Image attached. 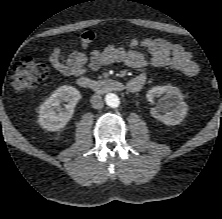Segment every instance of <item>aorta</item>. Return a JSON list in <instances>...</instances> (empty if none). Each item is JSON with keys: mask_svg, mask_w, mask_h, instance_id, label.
I'll return each instance as SVG.
<instances>
[{"mask_svg": "<svg viewBox=\"0 0 222 219\" xmlns=\"http://www.w3.org/2000/svg\"><path fill=\"white\" fill-rule=\"evenodd\" d=\"M106 104L112 108H116L120 104V100L116 94L109 93L105 97Z\"/></svg>", "mask_w": 222, "mask_h": 219, "instance_id": "aorta-1", "label": "aorta"}]
</instances>
